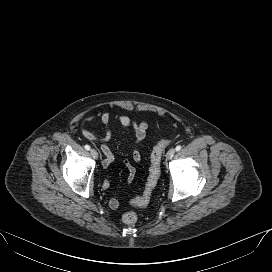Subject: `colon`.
I'll use <instances>...</instances> for the list:
<instances>
[{"label": "colon", "instance_id": "5ec220e1", "mask_svg": "<svg viewBox=\"0 0 272 272\" xmlns=\"http://www.w3.org/2000/svg\"><path fill=\"white\" fill-rule=\"evenodd\" d=\"M169 144H170V141L164 139L159 141L153 147L151 152V157H150V160H151L150 168H149L148 176L145 182L143 193L142 195L134 198L131 201L132 205L145 206L149 203L160 176L161 161H162L163 153ZM122 221L124 224L132 226L137 223L138 216L135 212L128 211L123 215Z\"/></svg>", "mask_w": 272, "mask_h": 272}]
</instances>
